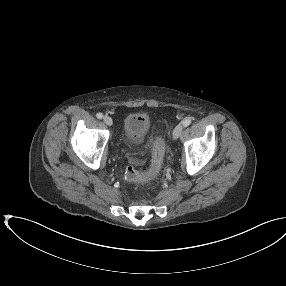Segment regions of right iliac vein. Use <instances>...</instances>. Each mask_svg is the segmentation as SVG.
I'll return each instance as SVG.
<instances>
[{"label":"right iliac vein","mask_w":286,"mask_h":286,"mask_svg":"<svg viewBox=\"0 0 286 286\" xmlns=\"http://www.w3.org/2000/svg\"><path fill=\"white\" fill-rule=\"evenodd\" d=\"M103 121L108 126H111L113 124L112 118L108 115L104 116Z\"/></svg>","instance_id":"63e3f726"}]
</instances>
